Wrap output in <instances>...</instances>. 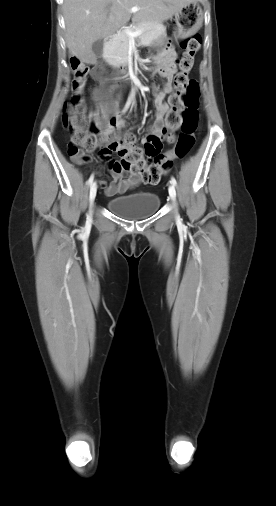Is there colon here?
<instances>
[{
	"label": "colon",
	"instance_id": "5ec220e1",
	"mask_svg": "<svg viewBox=\"0 0 276 506\" xmlns=\"http://www.w3.org/2000/svg\"><path fill=\"white\" fill-rule=\"evenodd\" d=\"M185 52L179 60V73L174 77V93L169 97L170 110L165 122L168 127L164 138L174 145V149L164 155H158L162 146L161 139L148 136L142 145L136 144L131 133L119 134L113 130L114 122L107 124L101 116L86 110L80 95L71 97L64 107L63 126L68 132L67 154L77 164L85 160V152L95 150L102 144L101 154L104 159L118 151L124 170L137 174L145 184L155 185L162 175L167 174L176 159L185 157L195 144V133L198 127L199 85L190 78L196 53L200 48V36L194 34L182 41ZM79 57L71 55L69 62L78 86L84 85L87 68L80 64ZM101 77L103 70H98ZM102 125H104L102 127ZM180 127V133L174 130ZM112 128L110 131L107 129ZM156 156L153 163L146 158Z\"/></svg>",
	"mask_w": 276,
	"mask_h": 506
}]
</instances>
